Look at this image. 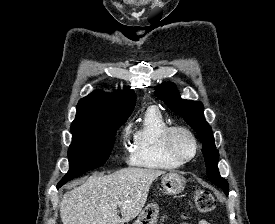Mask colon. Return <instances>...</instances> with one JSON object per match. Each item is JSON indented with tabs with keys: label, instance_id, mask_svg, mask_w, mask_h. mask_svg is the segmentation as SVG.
<instances>
[{
	"label": "colon",
	"instance_id": "obj_1",
	"mask_svg": "<svg viewBox=\"0 0 275 224\" xmlns=\"http://www.w3.org/2000/svg\"><path fill=\"white\" fill-rule=\"evenodd\" d=\"M216 205V200L213 195L206 190H196L193 196L194 208L201 212H211Z\"/></svg>",
	"mask_w": 275,
	"mask_h": 224
}]
</instances>
